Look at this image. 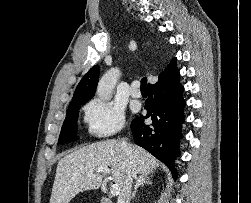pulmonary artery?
Instances as JSON below:
<instances>
[{"instance_id": "e3ab8cb5", "label": "pulmonary artery", "mask_w": 251, "mask_h": 203, "mask_svg": "<svg viewBox=\"0 0 251 203\" xmlns=\"http://www.w3.org/2000/svg\"><path fill=\"white\" fill-rule=\"evenodd\" d=\"M130 95L134 98H140L141 97V92L138 89V82L135 81L132 83L131 85V89H130Z\"/></svg>"}]
</instances>
